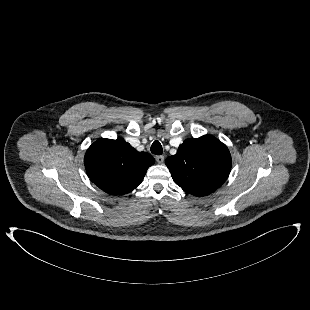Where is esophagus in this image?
<instances>
[{
  "instance_id": "esophagus-1",
  "label": "esophagus",
  "mask_w": 310,
  "mask_h": 310,
  "mask_svg": "<svg viewBox=\"0 0 310 310\" xmlns=\"http://www.w3.org/2000/svg\"><path fill=\"white\" fill-rule=\"evenodd\" d=\"M156 161L159 164H162L164 162V156L163 155L156 156Z\"/></svg>"
}]
</instances>
